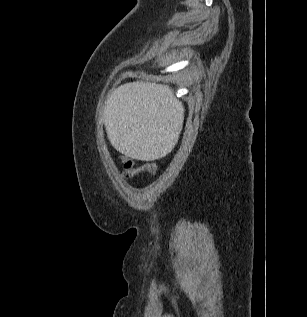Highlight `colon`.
Segmentation results:
<instances>
[{
    "instance_id": "5ec220e1",
    "label": "colon",
    "mask_w": 307,
    "mask_h": 317,
    "mask_svg": "<svg viewBox=\"0 0 307 317\" xmlns=\"http://www.w3.org/2000/svg\"><path fill=\"white\" fill-rule=\"evenodd\" d=\"M120 160L123 164L122 176L125 179L132 178L140 172H147L153 176L157 171V165L154 162H146L139 166H135V161L130 157L123 156Z\"/></svg>"
}]
</instances>
